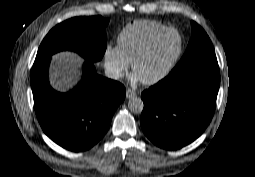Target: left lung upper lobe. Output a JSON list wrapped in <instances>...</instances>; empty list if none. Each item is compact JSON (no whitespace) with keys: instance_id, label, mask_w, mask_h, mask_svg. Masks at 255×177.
Instances as JSON below:
<instances>
[{"instance_id":"1","label":"left lung upper lobe","mask_w":255,"mask_h":177,"mask_svg":"<svg viewBox=\"0 0 255 177\" xmlns=\"http://www.w3.org/2000/svg\"><path fill=\"white\" fill-rule=\"evenodd\" d=\"M201 62H217V59L213 45L206 32L197 23L192 22V37L187 50L171 73Z\"/></svg>"}]
</instances>
